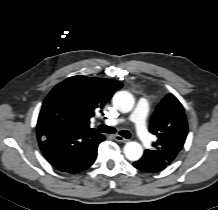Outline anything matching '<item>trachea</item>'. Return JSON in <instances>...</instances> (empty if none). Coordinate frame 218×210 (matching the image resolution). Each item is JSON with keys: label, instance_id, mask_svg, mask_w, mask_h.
Wrapping results in <instances>:
<instances>
[{"label": "trachea", "instance_id": "obj_1", "mask_svg": "<svg viewBox=\"0 0 218 210\" xmlns=\"http://www.w3.org/2000/svg\"><path fill=\"white\" fill-rule=\"evenodd\" d=\"M98 131L99 132H101V133H115L116 132V130L113 128V127H109V126H106V125H100L99 127H98ZM119 134L121 135V136H123L124 138H126V139H129L130 137H131V134H130V132L129 131H127V130H121L120 132H119Z\"/></svg>", "mask_w": 218, "mask_h": 210}]
</instances>
